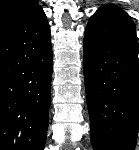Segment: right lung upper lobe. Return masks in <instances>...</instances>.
Returning a JSON list of instances; mask_svg holds the SVG:
<instances>
[{
  "instance_id": "1",
  "label": "right lung upper lobe",
  "mask_w": 139,
  "mask_h": 150,
  "mask_svg": "<svg viewBox=\"0 0 139 150\" xmlns=\"http://www.w3.org/2000/svg\"><path fill=\"white\" fill-rule=\"evenodd\" d=\"M41 10L38 0H1L0 33L25 22Z\"/></svg>"
}]
</instances>
